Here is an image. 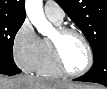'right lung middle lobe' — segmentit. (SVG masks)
<instances>
[{"label":"right lung middle lobe","instance_id":"right-lung-middle-lobe-1","mask_svg":"<svg viewBox=\"0 0 107 89\" xmlns=\"http://www.w3.org/2000/svg\"><path fill=\"white\" fill-rule=\"evenodd\" d=\"M23 22L24 20L0 17V67L17 68L13 60V42Z\"/></svg>","mask_w":107,"mask_h":89}]
</instances>
